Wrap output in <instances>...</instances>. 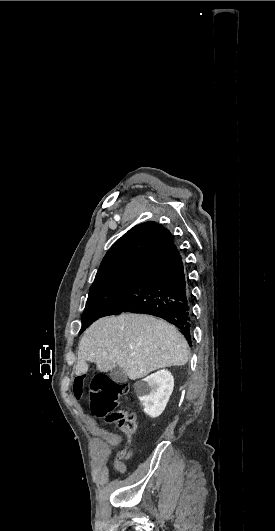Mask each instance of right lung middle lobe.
I'll return each instance as SVG.
<instances>
[{
	"instance_id": "right-lung-middle-lobe-1",
	"label": "right lung middle lobe",
	"mask_w": 275,
	"mask_h": 531,
	"mask_svg": "<svg viewBox=\"0 0 275 531\" xmlns=\"http://www.w3.org/2000/svg\"><path fill=\"white\" fill-rule=\"evenodd\" d=\"M146 266L122 269L94 281L89 289L86 307L82 314V333L134 284Z\"/></svg>"
}]
</instances>
